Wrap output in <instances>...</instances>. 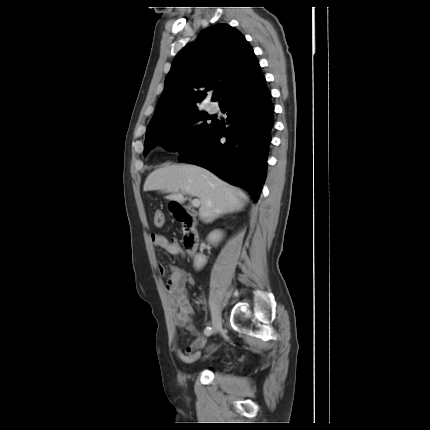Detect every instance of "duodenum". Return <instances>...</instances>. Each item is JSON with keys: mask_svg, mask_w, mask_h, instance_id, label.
I'll use <instances>...</instances> for the list:
<instances>
[{"mask_svg": "<svg viewBox=\"0 0 430 430\" xmlns=\"http://www.w3.org/2000/svg\"><path fill=\"white\" fill-rule=\"evenodd\" d=\"M172 212L175 219L182 224L183 244L188 254L192 255L196 252L199 245V234L196 229L195 218L179 204L175 205Z\"/></svg>", "mask_w": 430, "mask_h": 430, "instance_id": "obj_1", "label": "duodenum"}]
</instances>
